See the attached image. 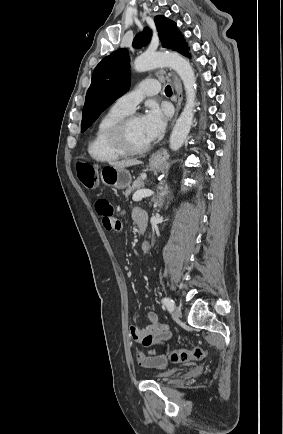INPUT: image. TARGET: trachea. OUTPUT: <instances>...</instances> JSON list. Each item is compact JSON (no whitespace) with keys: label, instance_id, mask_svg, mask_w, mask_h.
<instances>
[{"label":"trachea","instance_id":"1","mask_svg":"<svg viewBox=\"0 0 283 434\" xmlns=\"http://www.w3.org/2000/svg\"><path fill=\"white\" fill-rule=\"evenodd\" d=\"M165 93H166L167 95H171V94H172V89H171L170 85L166 86V88H165Z\"/></svg>","mask_w":283,"mask_h":434}]
</instances>
